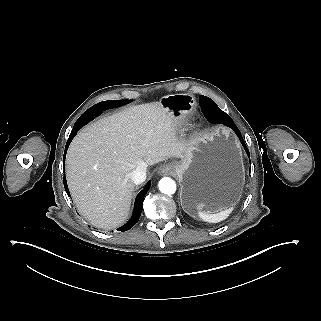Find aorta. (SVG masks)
Segmentation results:
<instances>
[{
    "label": "aorta",
    "mask_w": 321,
    "mask_h": 321,
    "mask_svg": "<svg viewBox=\"0 0 321 321\" xmlns=\"http://www.w3.org/2000/svg\"><path fill=\"white\" fill-rule=\"evenodd\" d=\"M159 190L167 195L174 194L176 191V184L175 182L169 178V177H164L159 181Z\"/></svg>",
    "instance_id": "762f6f07"
}]
</instances>
